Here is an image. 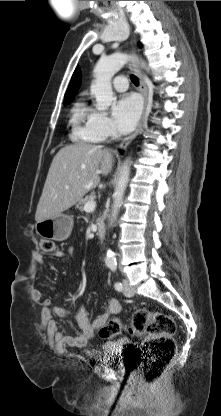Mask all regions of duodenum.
Returning <instances> with one entry per match:
<instances>
[{"label": "duodenum", "mask_w": 221, "mask_h": 416, "mask_svg": "<svg viewBox=\"0 0 221 416\" xmlns=\"http://www.w3.org/2000/svg\"><path fill=\"white\" fill-rule=\"evenodd\" d=\"M105 233H106V226L103 221H99L97 223V231H96L97 237L99 239H102L105 236Z\"/></svg>", "instance_id": "obj_1"}]
</instances>
